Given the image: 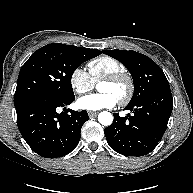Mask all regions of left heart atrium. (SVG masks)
<instances>
[{"label":"left heart atrium","mask_w":193,"mask_h":193,"mask_svg":"<svg viewBox=\"0 0 193 193\" xmlns=\"http://www.w3.org/2000/svg\"><path fill=\"white\" fill-rule=\"evenodd\" d=\"M118 100L110 93L88 94L77 99L76 106L81 110L98 111L113 108Z\"/></svg>","instance_id":"39dd6f15"}]
</instances>
